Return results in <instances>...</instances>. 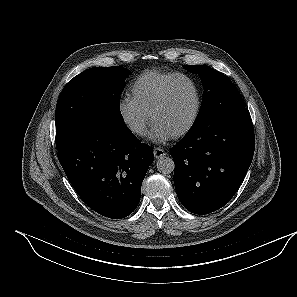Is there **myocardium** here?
I'll return each instance as SVG.
<instances>
[{
	"label": "myocardium",
	"instance_id": "myocardium-1",
	"mask_svg": "<svg viewBox=\"0 0 297 297\" xmlns=\"http://www.w3.org/2000/svg\"><path fill=\"white\" fill-rule=\"evenodd\" d=\"M180 80H185L191 84V86L194 90V93H195V106H194L192 116H191L190 120L188 121V123L182 129H180L179 131H177L176 133H174L172 135V138H174V139L183 137L187 133H189L192 130V128L195 126V124L198 120L200 110H201V105H202V97H201L200 89H199L197 83L194 81V79H192L190 76L185 75V74H177L176 76H174L170 81H168L166 83V85L162 89L159 97L154 102V104L152 105V107L149 111V119H150V122L153 124L154 115L166 103L172 86L177 81H180Z\"/></svg>",
	"mask_w": 297,
	"mask_h": 297
}]
</instances>
